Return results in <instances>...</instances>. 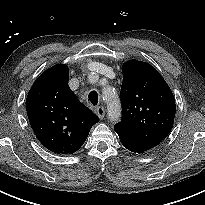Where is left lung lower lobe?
Returning a JSON list of instances; mask_svg holds the SVG:
<instances>
[{
	"label": "left lung lower lobe",
	"instance_id": "1",
	"mask_svg": "<svg viewBox=\"0 0 205 205\" xmlns=\"http://www.w3.org/2000/svg\"><path fill=\"white\" fill-rule=\"evenodd\" d=\"M114 129L118 134L121 143L124 145L125 148H127L131 152L143 153L156 146L154 144L133 137L120 129H116V128Z\"/></svg>",
	"mask_w": 205,
	"mask_h": 205
}]
</instances>
